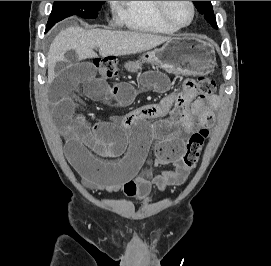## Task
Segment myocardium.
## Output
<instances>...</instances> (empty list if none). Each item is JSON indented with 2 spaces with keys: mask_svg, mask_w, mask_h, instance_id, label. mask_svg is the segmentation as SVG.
I'll return each mask as SVG.
<instances>
[{
  "mask_svg": "<svg viewBox=\"0 0 271 266\" xmlns=\"http://www.w3.org/2000/svg\"><path fill=\"white\" fill-rule=\"evenodd\" d=\"M191 7V19L190 21L185 24V25H180L178 23H176L168 14L167 11V4L168 1H157V6H158V11L160 16L169 24L171 25L173 28L175 29H184L189 27L195 20V16H196V6L195 3L193 1H187Z\"/></svg>",
  "mask_w": 271,
  "mask_h": 266,
  "instance_id": "1",
  "label": "myocardium"
}]
</instances>
